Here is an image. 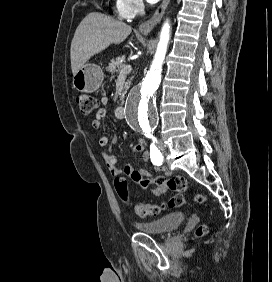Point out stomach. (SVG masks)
<instances>
[{
    "label": "stomach",
    "mask_w": 272,
    "mask_h": 282,
    "mask_svg": "<svg viewBox=\"0 0 272 282\" xmlns=\"http://www.w3.org/2000/svg\"><path fill=\"white\" fill-rule=\"evenodd\" d=\"M104 73L99 65L87 63L73 77V87L81 92L93 93L99 89Z\"/></svg>",
    "instance_id": "0dacf381"
}]
</instances>
